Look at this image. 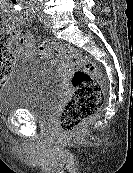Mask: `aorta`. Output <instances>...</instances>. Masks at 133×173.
Listing matches in <instances>:
<instances>
[{
  "label": "aorta",
  "mask_w": 133,
  "mask_h": 173,
  "mask_svg": "<svg viewBox=\"0 0 133 173\" xmlns=\"http://www.w3.org/2000/svg\"><path fill=\"white\" fill-rule=\"evenodd\" d=\"M32 1H34V2H42V0H32Z\"/></svg>",
  "instance_id": "762f6f07"
}]
</instances>
